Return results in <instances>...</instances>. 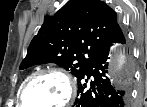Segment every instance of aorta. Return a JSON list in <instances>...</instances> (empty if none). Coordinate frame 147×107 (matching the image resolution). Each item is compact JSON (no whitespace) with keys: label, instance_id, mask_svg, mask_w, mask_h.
<instances>
[{"label":"aorta","instance_id":"1","mask_svg":"<svg viewBox=\"0 0 147 107\" xmlns=\"http://www.w3.org/2000/svg\"><path fill=\"white\" fill-rule=\"evenodd\" d=\"M129 62V53L121 45H117L108 67V76L114 85H119L130 74Z\"/></svg>","mask_w":147,"mask_h":107}]
</instances>
